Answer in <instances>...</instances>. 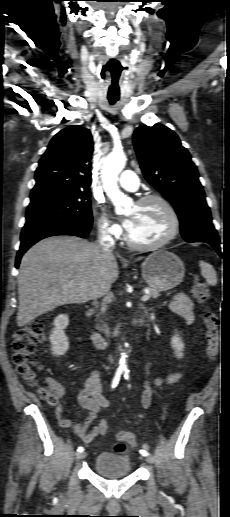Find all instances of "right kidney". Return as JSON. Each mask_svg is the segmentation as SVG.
I'll use <instances>...</instances> for the list:
<instances>
[{
	"label": "right kidney",
	"mask_w": 230,
	"mask_h": 517,
	"mask_svg": "<svg viewBox=\"0 0 230 517\" xmlns=\"http://www.w3.org/2000/svg\"><path fill=\"white\" fill-rule=\"evenodd\" d=\"M69 324L66 314L58 315L54 320V328L50 335L52 354L56 356L64 355L69 349L68 337L65 335V328Z\"/></svg>",
	"instance_id": "right-kidney-1"
}]
</instances>
